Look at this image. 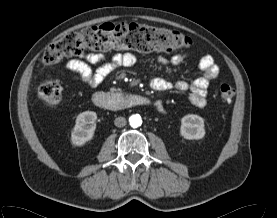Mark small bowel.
<instances>
[{"label": "small bowel", "instance_id": "small-bowel-1", "mask_svg": "<svg viewBox=\"0 0 277 218\" xmlns=\"http://www.w3.org/2000/svg\"><path fill=\"white\" fill-rule=\"evenodd\" d=\"M185 58L186 55L180 53L174 54L169 58L160 56L158 57V63L161 65L178 66ZM135 62L136 57L132 53H117L107 61L103 54L90 52L67 60L64 67L73 80L81 81L94 88L99 86L118 68L131 67ZM199 67L203 74L192 83L183 80L169 82L162 78H153L150 85L156 91L176 90L188 92V98L194 106L199 108L205 107L209 84L219 76L220 69L210 55H205L200 59Z\"/></svg>", "mask_w": 277, "mask_h": 218}]
</instances>
